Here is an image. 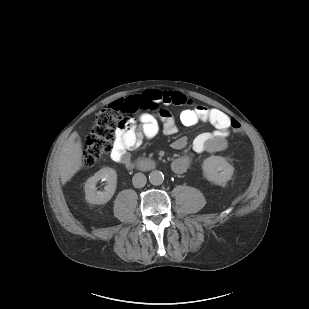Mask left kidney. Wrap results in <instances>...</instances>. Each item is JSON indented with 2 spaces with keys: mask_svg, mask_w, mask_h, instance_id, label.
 Wrapping results in <instances>:
<instances>
[{
  "mask_svg": "<svg viewBox=\"0 0 309 309\" xmlns=\"http://www.w3.org/2000/svg\"><path fill=\"white\" fill-rule=\"evenodd\" d=\"M202 169L208 181L220 186H224L234 172V167L220 156H210L205 159Z\"/></svg>",
  "mask_w": 309,
  "mask_h": 309,
  "instance_id": "1",
  "label": "left kidney"
}]
</instances>
